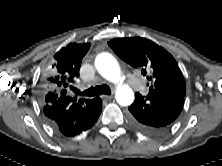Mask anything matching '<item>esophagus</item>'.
Masks as SVG:
<instances>
[{
    "instance_id": "34e87169",
    "label": "esophagus",
    "mask_w": 222,
    "mask_h": 166,
    "mask_svg": "<svg viewBox=\"0 0 222 166\" xmlns=\"http://www.w3.org/2000/svg\"><path fill=\"white\" fill-rule=\"evenodd\" d=\"M112 97H113V95H103V98L108 99V100L111 99Z\"/></svg>"
}]
</instances>
